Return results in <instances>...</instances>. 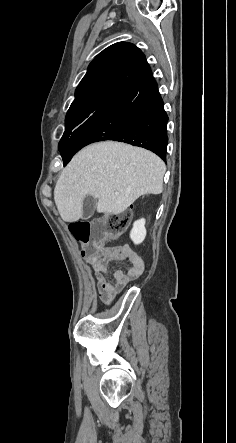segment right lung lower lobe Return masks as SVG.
Here are the masks:
<instances>
[{
	"instance_id": "obj_1",
	"label": "right lung lower lobe",
	"mask_w": 236,
	"mask_h": 443,
	"mask_svg": "<svg viewBox=\"0 0 236 443\" xmlns=\"http://www.w3.org/2000/svg\"><path fill=\"white\" fill-rule=\"evenodd\" d=\"M168 116L151 70L130 87L110 95L86 120L66 150V165L82 147L103 140L121 141L151 150L166 160Z\"/></svg>"
}]
</instances>
